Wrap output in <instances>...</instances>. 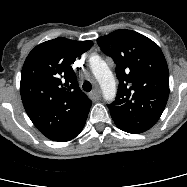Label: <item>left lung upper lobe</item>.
I'll list each match as a JSON object with an SVG mask.
<instances>
[{
    "instance_id": "left-lung-upper-lobe-1",
    "label": "left lung upper lobe",
    "mask_w": 187,
    "mask_h": 187,
    "mask_svg": "<svg viewBox=\"0 0 187 187\" xmlns=\"http://www.w3.org/2000/svg\"><path fill=\"white\" fill-rule=\"evenodd\" d=\"M97 43L116 64L119 86L108 105L114 123L132 134L147 131L159 120L169 96V71L161 49L126 29L100 37Z\"/></svg>"
}]
</instances>
